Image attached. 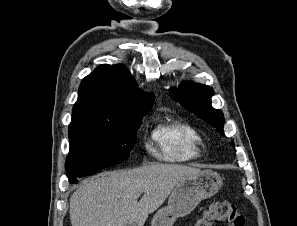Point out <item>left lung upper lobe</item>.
I'll return each instance as SVG.
<instances>
[{
    "label": "left lung upper lobe",
    "mask_w": 297,
    "mask_h": 226,
    "mask_svg": "<svg viewBox=\"0 0 297 226\" xmlns=\"http://www.w3.org/2000/svg\"><path fill=\"white\" fill-rule=\"evenodd\" d=\"M173 99L177 100L184 108L192 111L200 118L216 127L223 134V113L211 106L213 89L199 83H188L181 85L177 90L170 91ZM232 145L234 143L232 142Z\"/></svg>",
    "instance_id": "5c2ea615"
}]
</instances>
